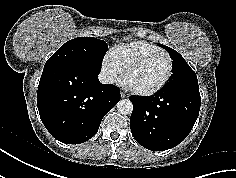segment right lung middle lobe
<instances>
[{"label":"right lung middle lobe","instance_id":"right-lung-middle-lobe-1","mask_svg":"<svg viewBox=\"0 0 236 178\" xmlns=\"http://www.w3.org/2000/svg\"><path fill=\"white\" fill-rule=\"evenodd\" d=\"M108 45L94 37H79L63 44L46 62H84L101 70L103 58Z\"/></svg>","mask_w":236,"mask_h":178}]
</instances>
